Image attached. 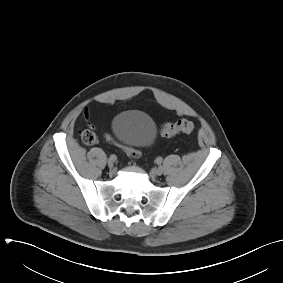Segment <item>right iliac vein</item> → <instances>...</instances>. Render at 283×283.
<instances>
[{"label":"right iliac vein","mask_w":283,"mask_h":283,"mask_svg":"<svg viewBox=\"0 0 283 283\" xmlns=\"http://www.w3.org/2000/svg\"><path fill=\"white\" fill-rule=\"evenodd\" d=\"M108 167L112 169L114 167V162L112 160H108Z\"/></svg>","instance_id":"1"}]
</instances>
